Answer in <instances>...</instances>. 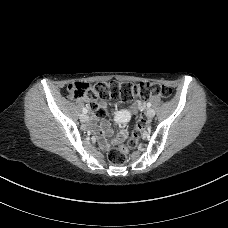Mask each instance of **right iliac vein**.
Masks as SVG:
<instances>
[{
	"mask_svg": "<svg viewBox=\"0 0 228 228\" xmlns=\"http://www.w3.org/2000/svg\"><path fill=\"white\" fill-rule=\"evenodd\" d=\"M89 120L88 116L86 114H81L80 115V121L85 123Z\"/></svg>",
	"mask_w": 228,
	"mask_h": 228,
	"instance_id": "obj_1",
	"label": "right iliac vein"
}]
</instances>
